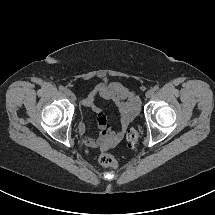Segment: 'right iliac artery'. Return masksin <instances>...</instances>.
<instances>
[{
    "label": "right iliac artery",
    "instance_id": "1",
    "mask_svg": "<svg viewBox=\"0 0 215 215\" xmlns=\"http://www.w3.org/2000/svg\"><path fill=\"white\" fill-rule=\"evenodd\" d=\"M64 87L61 85V86H59V90H61V91H64Z\"/></svg>",
    "mask_w": 215,
    "mask_h": 215
}]
</instances>
